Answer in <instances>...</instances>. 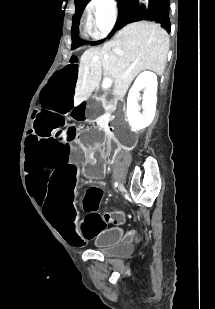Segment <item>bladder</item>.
Instances as JSON below:
<instances>
[{
  "instance_id": "obj_1",
  "label": "bladder",
  "mask_w": 215,
  "mask_h": 309,
  "mask_svg": "<svg viewBox=\"0 0 215 309\" xmlns=\"http://www.w3.org/2000/svg\"><path fill=\"white\" fill-rule=\"evenodd\" d=\"M134 252V246L130 243H125L119 246L114 251L108 253V255L118 258V259H125L130 257Z\"/></svg>"
}]
</instances>
